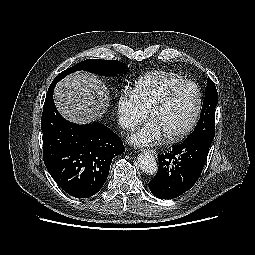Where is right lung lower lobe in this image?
<instances>
[{"mask_svg":"<svg viewBox=\"0 0 255 255\" xmlns=\"http://www.w3.org/2000/svg\"><path fill=\"white\" fill-rule=\"evenodd\" d=\"M46 95L41 118L44 164L55 182L76 198H89L107 180L112 159L125 151L112 130L94 122L78 125L64 119Z\"/></svg>","mask_w":255,"mask_h":255,"instance_id":"98d812e1","label":"right lung lower lobe"}]
</instances>
